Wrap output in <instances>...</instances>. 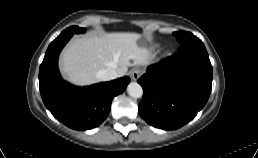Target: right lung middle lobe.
<instances>
[{"mask_svg":"<svg viewBox=\"0 0 258 158\" xmlns=\"http://www.w3.org/2000/svg\"><path fill=\"white\" fill-rule=\"evenodd\" d=\"M85 29L84 28H79V27H69L66 30H64L62 33H84Z\"/></svg>","mask_w":258,"mask_h":158,"instance_id":"right-lung-middle-lobe-1","label":"right lung middle lobe"}]
</instances>
